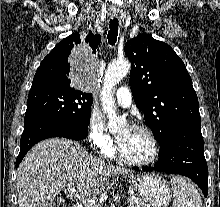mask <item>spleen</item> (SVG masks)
Here are the masks:
<instances>
[{
	"label": "spleen",
	"instance_id": "3e777b00",
	"mask_svg": "<svg viewBox=\"0 0 220 207\" xmlns=\"http://www.w3.org/2000/svg\"><path fill=\"white\" fill-rule=\"evenodd\" d=\"M173 187V207H202L198 190L182 177L171 179Z\"/></svg>",
	"mask_w": 220,
	"mask_h": 207
}]
</instances>
